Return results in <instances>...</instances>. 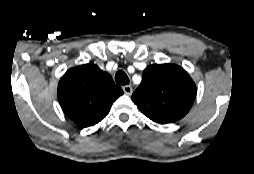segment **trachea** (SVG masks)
<instances>
[{
    "label": "trachea",
    "mask_w": 254,
    "mask_h": 174,
    "mask_svg": "<svg viewBox=\"0 0 254 174\" xmlns=\"http://www.w3.org/2000/svg\"><path fill=\"white\" fill-rule=\"evenodd\" d=\"M115 81H116L117 84H120V85L129 84V78L126 75V73L122 70H119V71L116 72Z\"/></svg>",
    "instance_id": "3493384b"
}]
</instances>
